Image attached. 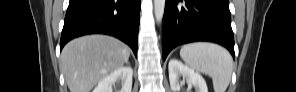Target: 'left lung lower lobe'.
Masks as SVG:
<instances>
[{"label":"left lung lower lobe","instance_id":"1","mask_svg":"<svg viewBox=\"0 0 296 92\" xmlns=\"http://www.w3.org/2000/svg\"><path fill=\"white\" fill-rule=\"evenodd\" d=\"M196 41L218 43L235 56L228 0H166L163 59L176 46Z\"/></svg>","mask_w":296,"mask_h":92}]
</instances>
